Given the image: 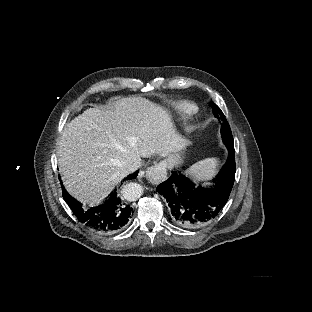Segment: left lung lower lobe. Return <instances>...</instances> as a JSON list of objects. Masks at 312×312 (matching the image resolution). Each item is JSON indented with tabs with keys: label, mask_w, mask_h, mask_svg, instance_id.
<instances>
[{
	"label": "left lung lower lobe",
	"mask_w": 312,
	"mask_h": 312,
	"mask_svg": "<svg viewBox=\"0 0 312 312\" xmlns=\"http://www.w3.org/2000/svg\"><path fill=\"white\" fill-rule=\"evenodd\" d=\"M229 156L213 185L204 187L177 171L159 184L157 192L166 198L170 219L185 228L198 229L210 223L226 204L236 172L234 145H226Z\"/></svg>",
	"instance_id": "left-lung-lower-lobe-1"
}]
</instances>
